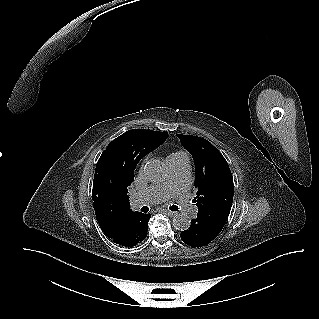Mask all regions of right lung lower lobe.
<instances>
[{
	"mask_svg": "<svg viewBox=\"0 0 319 319\" xmlns=\"http://www.w3.org/2000/svg\"><path fill=\"white\" fill-rule=\"evenodd\" d=\"M150 217V214L133 212L117 227L115 234L109 238L125 247L135 246L146 238Z\"/></svg>",
	"mask_w": 319,
	"mask_h": 319,
	"instance_id": "right-lung-lower-lobe-1",
	"label": "right lung lower lobe"
}]
</instances>
